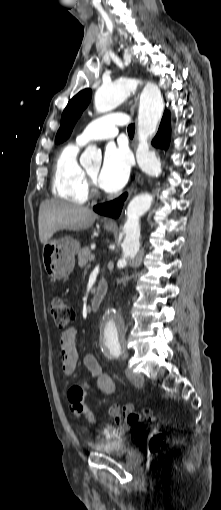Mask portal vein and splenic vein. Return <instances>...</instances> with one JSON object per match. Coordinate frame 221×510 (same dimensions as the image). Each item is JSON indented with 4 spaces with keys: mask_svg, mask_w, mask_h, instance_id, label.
Here are the masks:
<instances>
[{
    "mask_svg": "<svg viewBox=\"0 0 221 510\" xmlns=\"http://www.w3.org/2000/svg\"><path fill=\"white\" fill-rule=\"evenodd\" d=\"M94 259H95V255H91L89 258L90 261H93Z\"/></svg>",
    "mask_w": 221,
    "mask_h": 510,
    "instance_id": "1",
    "label": "portal vein and splenic vein"
}]
</instances>
